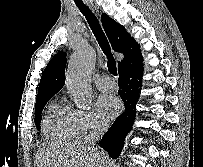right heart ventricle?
I'll list each match as a JSON object with an SVG mask.
<instances>
[{
  "mask_svg": "<svg viewBox=\"0 0 203 167\" xmlns=\"http://www.w3.org/2000/svg\"><path fill=\"white\" fill-rule=\"evenodd\" d=\"M43 133L51 142H67L77 136L71 109L53 102L43 118Z\"/></svg>",
  "mask_w": 203,
  "mask_h": 167,
  "instance_id": "1",
  "label": "right heart ventricle"
}]
</instances>
